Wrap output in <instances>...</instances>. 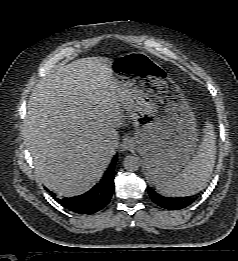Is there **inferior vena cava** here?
<instances>
[{
    "label": "inferior vena cava",
    "mask_w": 238,
    "mask_h": 261,
    "mask_svg": "<svg viewBox=\"0 0 238 261\" xmlns=\"http://www.w3.org/2000/svg\"><path fill=\"white\" fill-rule=\"evenodd\" d=\"M106 149H107V151H108L110 154H114V152H115V148H114V146H113L111 143H108V144L106 145Z\"/></svg>",
    "instance_id": "obj_1"
}]
</instances>
